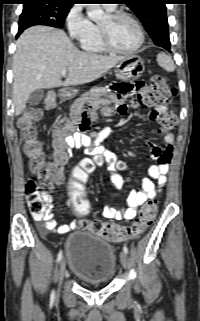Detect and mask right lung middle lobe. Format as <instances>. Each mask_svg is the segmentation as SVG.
Here are the masks:
<instances>
[{
  "instance_id": "dd1d6c3e",
  "label": "right lung middle lobe",
  "mask_w": 200,
  "mask_h": 321,
  "mask_svg": "<svg viewBox=\"0 0 200 321\" xmlns=\"http://www.w3.org/2000/svg\"><path fill=\"white\" fill-rule=\"evenodd\" d=\"M70 8L52 1L25 2L19 18L18 35L34 25L62 28Z\"/></svg>"
}]
</instances>
